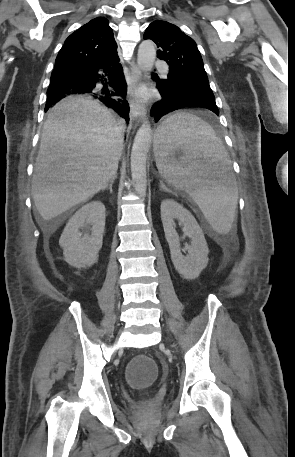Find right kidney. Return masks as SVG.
Instances as JSON below:
<instances>
[{
  "instance_id": "1",
  "label": "right kidney",
  "mask_w": 295,
  "mask_h": 457,
  "mask_svg": "<svg viewBox=\"0 0 295 457\" xmlns=\"http://www.w3.org/2000/svg\"><path fill=\"white\" fill-rule=\"evenodd\" d=\"M105 217L104 204L92 201L82 206L69 219L59 240L68 264L80 269L97 262L102 247Z\"/></svg>"
}]
</instances>
